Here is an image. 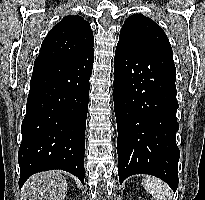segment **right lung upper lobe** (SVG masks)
Instances as JSON below:
<instances>
[{
  "instance_id": "right-lung-upper-lobe-1",
  "label": "right lung upper lobe",
  "mask_w": 205,
  "mask_h": 200,
  "mask_svg": "<svg viewBox=\"0 0 205 200\" xmlns=\"http://www.w3.org/2000/svg\"><path fill=\"white\" fill-rule=\"evenodd\" d=\"M90 24L78 15L65 16L48 33L38 57L72 58L93 50Z\"/></svg>"
}]
</instances>
